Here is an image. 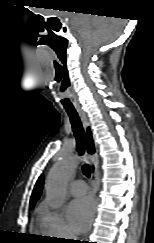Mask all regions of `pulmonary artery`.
<instances>
[{"mask_svg": "<svg viewBox=\"0 0 154 243\" xmlns=\"http://www.w3.org/2000/svg\"><path fill=\"white\" fill-rule=\"evenodd\" d=\"M87 191V185L83 180H75L70 186V192L73 196H81Z\"/></svg>", "mask_w": 154, "mask_h": 243, "instance_id": "pulmonary-artery-1", "label": "pulmonary artery"}]
</instances>
